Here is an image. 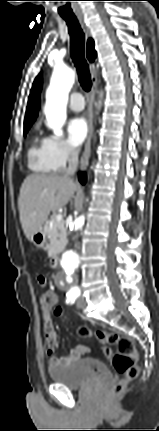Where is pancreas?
<instances>
[{
    "instance_id": "1",
    "label": "pancreas",
    "mask_w": 159,
    "mask_h": 431,
    "mask_svg": "<svg viewBox=\"0 0 159 431\" xmlns=\"http://www.w3.org/2000/svg\"><path fill=\"white\" fill-rule=\"evenodd\" d=\"M53 216L45 225L44 231L48 236L49 245L46 250L49 257L55 256L61 252L66 242V227L64 221L57 222Z\"/></svg>"
}]
</instances>
